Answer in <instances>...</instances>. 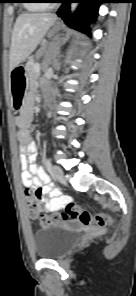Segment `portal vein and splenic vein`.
Segmentation results:
<instances>
[{
  "label": "portal vein and splenic vein",
  "instance_id": "18ae733b",
  "mask_svg": "<svg viewBox=\"0 0 136 296\" xmlns=\"http://www.w3.org/2000/svg\"><path fill=\"white\" fill-rule=\"evenodd\" d=\"M39 70H40V66H39V64H38L37 66H35V71H36V72H39Z\"/></svg>",
  "mask_w": 136,
  "mask_h": 296
}]
</instances>
